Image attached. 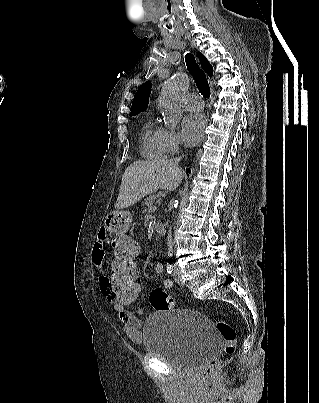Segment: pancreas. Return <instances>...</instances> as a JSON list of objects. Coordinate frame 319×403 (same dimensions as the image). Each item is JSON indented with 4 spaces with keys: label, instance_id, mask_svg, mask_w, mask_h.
<instances>
[{
    "label": "pancreas",
    "instance_id": "obj_1",
    "mask_svg": "<svg viewBox=\"0 0 319 403\" xmlns=\"http://www.w3.org/2000/svg\"><path fill=\"white\" fill-rule=\"evenodd\" d=\"M155 201H156V196L153 195V194H150V195H148V196L145 197V199H144V204H145L148 208H150V207L154 206L153 204H154Z\"/></svg>",
    "mask_w": 319,
    "mask_h": 403
}]
</instances>
